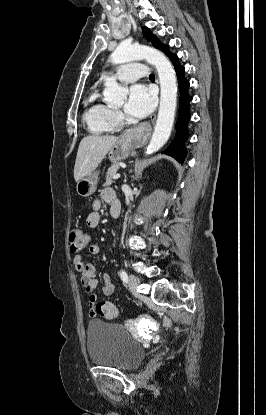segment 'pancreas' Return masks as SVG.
<instances>
[{
  "label": "pancreas",
  "mask_w": 266,
  "mask_h": 415,
  "mask_svg": "<svg viewBox=\"0 0 266 415\" xmlns=\"http://www.w3.org/2000/svg\"><path fill=\"white\" fill-rule=\"evenodd\" d=\"M118 169H119V165H117V164L112 165L108 169V171L106 173L104 186H109V185H111L112 183L115 182V180L113 179V176L117 173Z\"/></svg>",
  "instance_id": "cf45deb5"
}]
</instances>
